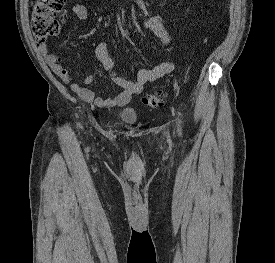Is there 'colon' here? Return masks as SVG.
<instances>
[{"label":"colon","mask_w":275,"mask_h":263,"mask_svg":"<svg viewBox=\"0 0 275 263\" xmlns=\"http://www.w3.org/2000/svg\"><path fill=\"white\" fill-rule=\"evenodd\" d=\"M67 0H35L31 10V29L34 40L44 43L59 30L58 13L63 9ZM142 102L150 108H157L166 103L163 94H147Z\"/></svg>","instance_id":"1"}]
</instances>
